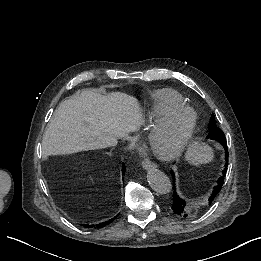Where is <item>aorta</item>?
<instances>
[{"instance_id": "1", "label": "aorta", "mask_w": 261, "mask_h": 261, "mask_svg": "<svg viewBox=\"0 0 261 261\" xmlns=\"http://www.w3.org/2000/svg\"><path fill=\"white\" fill-rule=\"evenodd\" d=\"M147 181L150 187L159 194H167L172 190V184L168 176L155 168L148 171Z\"/></svg>"}]
</instances>
